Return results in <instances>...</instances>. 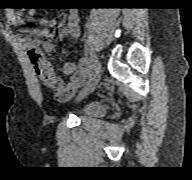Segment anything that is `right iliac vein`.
<instances>
[{
	"instance_id": "obj_1",
	"label": "right iliac vein",
	"mask_w": 192,
	"mask_h": 180,
	"mask_svg": "<svg viewBox=\"0 0 192 180\" xmlns=\"http://www.w3.org/2000/svg\"><path fill=\"white\" fill-rule=\"evenodd\" d=\"M100 78V64L97 63V66L94 68L93 73L91 74V78L83 90V92L80 94V98L85 97L87 94L93 92L99 82Z\"/></svg>"
}]
</instances>
